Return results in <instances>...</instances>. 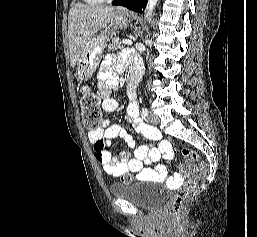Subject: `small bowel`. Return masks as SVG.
<instances>
[{"label":"small bowel","mask_w":257,"mask_h":237,"mask_svg":"<svg viewBox=\"0 0 257 237\" xmlns=\"http://www.w3.org/2000/svg\"><path fill=\"white\" fill-rule=\"evenodd\" d=\"M125 64L117 62L115 55H107L101 65L98 76V95L102 98V108L105 112H115L119 103L110 97V92L117 88V73ZM127 119L132 121L135 129L148 139L157 142L156 147L148 144L136 146L133 138L125 128L119 124H112L109 119H103L99 128L88 132V139L94 145L95 157L104 171L112 176L125 173H135L139 179L153 182L166 181L170 186H178L182 182L179 175H169L165 164L145 167L163 158L168 162L172 158L170 143L164 139L159 131L147 126L139 117V107L136 101H130L127 106ZM121 137L133 149V158L128 150H121L113 156L109 150L114 138Z\"/></svg>","instance_id":"c3829d8e"}]
</instances>
